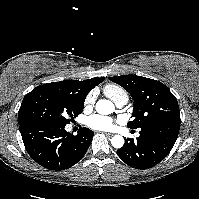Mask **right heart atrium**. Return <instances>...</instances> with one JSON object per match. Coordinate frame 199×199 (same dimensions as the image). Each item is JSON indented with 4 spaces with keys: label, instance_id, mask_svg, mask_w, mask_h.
<instances>
[{
    "label": "right heart atrium",
    "instance_id": "d8ad5b80",
    "mask_svg": "<svg viewBox=\"0 0 199 199\" xmlns=\"http://www.w3.org/2000/svg\"><path fill=\"white\" fill-rule=\"evenodd\" d=\"M91 101V96H88L86 99V103H89Z\"/></svg>",
    "mask_w": 199,
    "mask_h": 199
}]
</instances>
